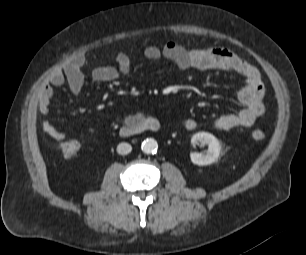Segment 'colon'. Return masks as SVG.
Returning a JSON list of instances; mask_svg holds the SVG:
<instances>
[{
    "label": "colon",
    "mask_w": 306,
    "mask_h": 255,
    "mask_svg": "<svg viewBox=\"0 0 306 255\" xmlns=\"http://www.w3.org/2000/svg\"><path fill=\"white\" fill-rule=\"evenodd\" d=\"M251 137L256 141H260L264 139L265 133L262 129L256 128L251 132ZM59 148L64 157L71 158L78 153L80 144L76 140H67L60 143Z\"/></svg>",
    "instance_id": "5ec220e1"
}]
</instances>
